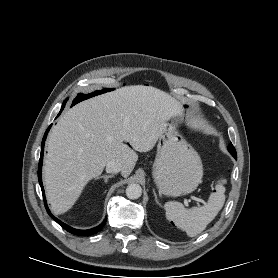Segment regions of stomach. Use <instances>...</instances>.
Segmentation results:
<instances>
[{
    "label": "stomach",
    "mask_w": 278,
    "mask_h": 278,
    "mask_svg": "<svg viewBox=\"0 0 278 278\" xmlns=\"http://www.w3.org/2000/svg\"><path fill=\"white\" fill-rule=\"evenodd\" d=\"M202 177L200 156L178 133L174 123H166L153 165V178L159 192L171 197L189 194L198 187Z\"/></svg>",
    "instance_id": "1"
}]
</instances>
